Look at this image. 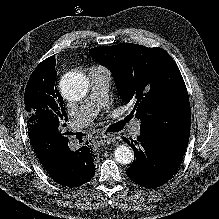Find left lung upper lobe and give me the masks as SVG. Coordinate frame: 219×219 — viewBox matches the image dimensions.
I'll return each instance as SVG.
<instances>
[{"mask_svg": "<svg viewBox=\"0 0 219 219\" xmlns=\"http://www.w3.org/2000/svg\"><path fill=\"white\" fill-rule=\"evenodd\" d=\"M89 54L107 66L125 103H133L143 132L189 139V97L178 66L161 48L121 43L95 47Z\"/></svg>", "mask_w": 219, "mask_h": 219, "instance_id": "5c2ea615", "label": "left lung upper lobe"}]
</instances>
